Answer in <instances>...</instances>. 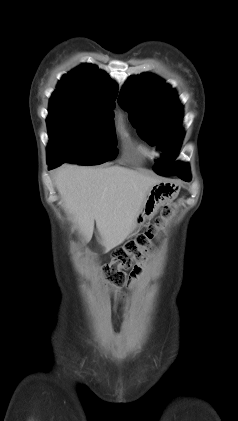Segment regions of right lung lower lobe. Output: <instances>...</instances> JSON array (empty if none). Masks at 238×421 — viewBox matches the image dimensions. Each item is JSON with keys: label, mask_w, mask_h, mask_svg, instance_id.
I'll return each mask as SVG.
<instances>
[{"label": "right lung lower lobe", "mask_w": 238, "mask_h": 421, "mask_svg": "<svg viewBox=\"0 0 238 421\" xmlns=\"http://www.w3.org/2000/svg\"><path fill=\"white\" fill-rule=\"evenodd\" d=\"M63 163H64L63 161H52V162L48 161L49 169H53L55 167H58Z\"/></svg>", "instance_id": "right-lung-lower-lobe-1"}]
</instances>
